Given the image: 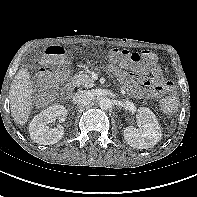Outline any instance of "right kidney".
I'll return each instance as SVG.
<instances>
[{"label":"right kidney","instance_id":"ca27d5eb","mask_svg":"<svg viewBox=\"0 0 197 197\" xmlns=\"http://www.w3.org/2000/svg\"><path fill=\"white\" fill-rule=\"evenodd\" d=\"M66 116L67 110L63 105L51 106L37 114L29 125L31 139L40 145L57 143L64 135V128L61 125L49 128L47 125L56 119L63 122Z\"/></svg>","mask_w":197,"mask_h":197}]
</instances>
